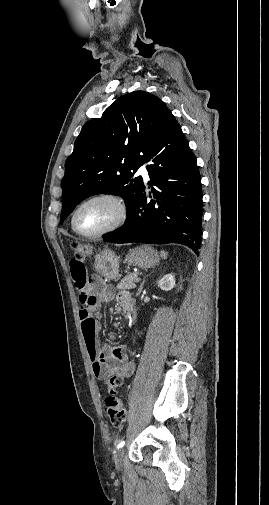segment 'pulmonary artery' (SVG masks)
I'll list each match as a JSON object with an SVG mask.
<instances>
[{
	"mask_svg": "<svg viewBox=\"0 0 269 505\" xmlns=\"http://www.w3.org/2000/svg\"><path fill=\"white\" fill-rule=\"evenodd\" d=\"M137 174L138 175H141L142 178L145 180V181H148L149 180V174H148V171H147V168H146V165L143 164L139 167L138 171H137Z\"/></svg>",
	"mask_w": 269,
	"mask_h": 505,
	"instance_id": "obj_1",
	"label": "pulmonary artery"
}]
</instances>
